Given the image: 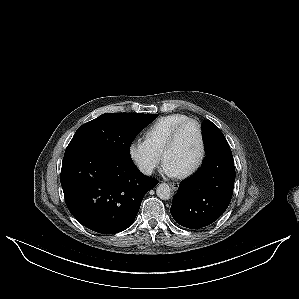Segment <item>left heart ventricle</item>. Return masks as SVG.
<instances>
[{
    "mask_svg": "<svg viewBox=\"0 0 299 299\" xmlns=\"http://www.w3.org/2000/svg\"><path fill=\"white\" fill-rule=\"evenodd\" d=\"M198 134L194 127L184 129L178 136L176 145L172 151L173 164L179 168H189L196 160L198 154Z\"/></svg>",
    "mask_w": 299,
    "mask_h": 299,
    "instance_id": "b2bd125f",
    "label": "left heart ventricle"
}]
</instances>
